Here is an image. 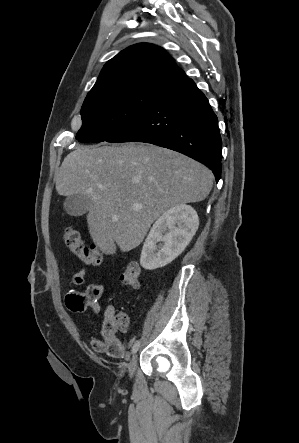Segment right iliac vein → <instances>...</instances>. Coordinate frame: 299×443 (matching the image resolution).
Listing matches in <instances>:
<instances>
[{
    "label": "right iliac vein",
    "instance_id": "63e3f726",
    "mask_svg": "<svg viewBox=\"0 0 299 443\" xmlns=\"http://www.w3.org/2000/svg\"><path fill=\"white\" fill-rule=\"evenodd\" d=\"M137 360H138V358H137V355H136V354L133 355V357H132L131 360H130V363H129V375H130V377L133 376V374H134V372H135V370H136V367H137Z\"/></svg>",
    "mask_w": 299,
    "mask_h": 443
}]
</instances>
